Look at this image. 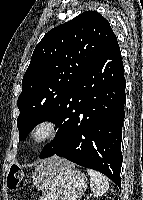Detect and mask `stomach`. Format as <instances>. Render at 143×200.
<instances>
[{
	"instance_id": "0dacf381",
	"label": "stomach",
	"mask_w": 143,
	"mask_h": 200,
	"mask_svg": "<svg viewBox=\"0 0 143 200\" xmlns=\"http://www.w3.org/2000/svg\"><path fill=\"white\" fill-rule=\"evenodd\" d=\"M86 187L84 173L72 166L64 167L50 177L40 200H78Z\"/></svg>"
}]
</instances>
